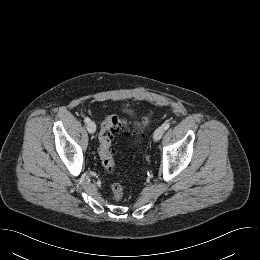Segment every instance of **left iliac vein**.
<instances>
[{
  "mask_svg": "<svg viewBox=\"0 0 260 260\" xmlns=\"http://www.w3.org/2000/svg\"><path fill=\"white\" fill-rule=\"evenodd\" d=\"M164 132H165V129L163 127L157 128L153 135L154 141H159L161 139V137L163 136Z\"/></svg>",
  "mask_w": 260,
  "mask_h": 260,
  "instance_id": "4c4485c4",
  "label": "left iliac vein"
}]
</instances>
